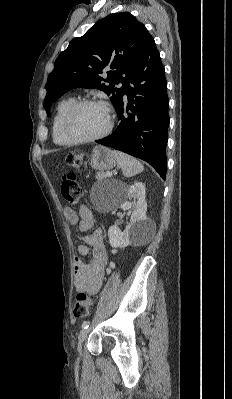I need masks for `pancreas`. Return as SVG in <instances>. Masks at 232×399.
Wrapping results in <instances>:
<instances>
[{
    "label": "pancreas",
    "mask_w": 232,
    "mask_h": 399,
    "mask_svg": "<svg viewBox=\"0 0 232 399\" xmlns=\"http://www.w3.org/2000/svg\"><path fill=\"white\" fill-rule=\"evenodd\" d=\"M95 178L96 180H104V178H109V176H106V172H97Z\"/></svg>",
    "instance_id": "1"
}]
</instances>
